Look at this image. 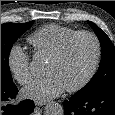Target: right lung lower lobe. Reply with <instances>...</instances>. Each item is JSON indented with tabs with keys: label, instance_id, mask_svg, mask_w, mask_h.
Returning <instances> with one entry per match:
<instances>
[{
	"label": "right lung lower lobe",
	"instance_id": "obj_1",
	"mask_svg": "<svg viewBox=\"0 0 115 115\" xmlns=\"http://www.w3.org/2000/svg\"><path fill=\"white\" fill-rule=\"evenodd\" d=\"M18 93L15 84L1 85V115H29L34 109L31 100L21 101L18 105H10L8 102L14 99Z\"/></svg>",
	"mask_w": 115,
	"mask_h": 115
}]
</instances>
